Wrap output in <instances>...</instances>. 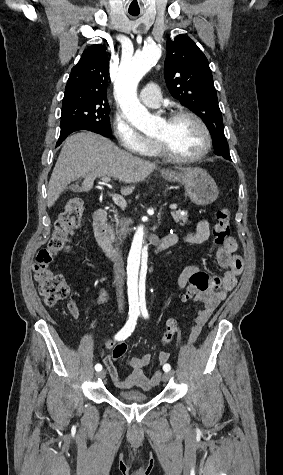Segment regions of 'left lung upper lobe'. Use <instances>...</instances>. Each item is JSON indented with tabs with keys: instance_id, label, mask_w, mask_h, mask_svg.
Wrapping results in <instances>:
<instances>
[{
	"instance_id": "5c2ea615",
	"label": "left lung upper lobe",
	"mask_w": 283,
	"mask_h": 475,
	"mask_svg": "<svg viewBox=\"0 0 283 475\" xmlns=\"http://www.w3.org/2000/svg\"><path fill=\"white\" fill-rule=\"evenodd\" d=\"M164 77L171 95L205 122L211 136H225L208 60L189 37L167 40Z\"/></svg>"
}]
</instances>
